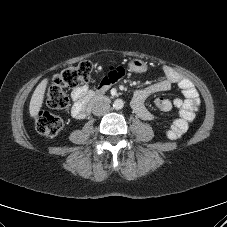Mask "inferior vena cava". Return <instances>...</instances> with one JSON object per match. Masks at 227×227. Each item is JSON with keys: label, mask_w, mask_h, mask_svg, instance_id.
<instances>
[{"label": "inferior vena cava", "mask_w": 227, "mask_h": 227, "mask_svg": "<svg viewBox=\"0 0 227 227\" xmlns=\"http://www.w3.org/2000/svg\"><path fill=\"white\" fill-rule=\"evenodd\" d=\"M110 111V104L106 102H97L92 107V112L96 116H102L107 114Z\"/></svg>", "instance_id": "1"}]
</instances>
